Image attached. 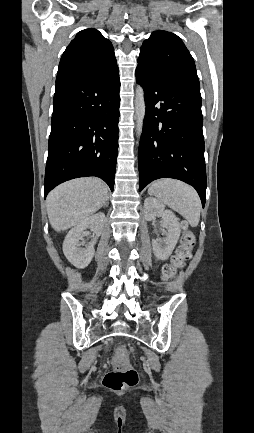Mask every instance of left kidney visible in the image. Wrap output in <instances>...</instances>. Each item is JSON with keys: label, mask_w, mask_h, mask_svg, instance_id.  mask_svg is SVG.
Here are the masks:
<instances>
[{"label": "left kidney", "mask_w": 254, "mask_h": 433, "mask_svg": "<svg viewBox=\"0 0 254 433\" xmlns=\"http://www.w3.org/2000/svg\"><path fill=\"white\" fill-rule=\"evenodd\" d=\"M157 213L162 214V226L167 230L166 238L163 241L153 239L152 247L159 260H166L172 254L180 236L179 220L171 210H165L164 204L159 200L152 197L146 198L144 201L146 220H154Z\"/></svg>", "instance_id": "1"}]
</instances>
